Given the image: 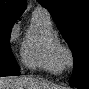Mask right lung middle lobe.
Masks as SVG:
<instances>
[{
	"label": "right lung middle lobe",
	"instance_id": "1",
	"mask_svg": "<svg viewBox=\"0 0 89 89\" xmlns=\"http://www.w3.org/2000/svg\"><path fill=\"white\" fill-rule=\"evenodd\" d=\"M16 20L0 16V77L20 75L19 66L10 48V33Z\"/></svg>",
	"mask_w": 89,
	"mask_h": 89
}]
</instances>
